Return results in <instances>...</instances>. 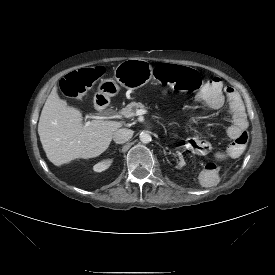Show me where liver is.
Segmentation results:
<instances>
[{"mask_svg": "<svg viewBox=\"0 0 275 275\" xmlns=\"http://www.w3.org/2000/svg\"><path fill=\"white\" fill-rule=\"evenodd\" d=\"M121 126L118 121L98 119L83 124L82 113L60 99L55 86L42 109L38 134L49 161L61 166L101 155Z\"/></svg>", "mask_w": 275, "mask_h": 275, "instance_id": "6515ba94", "label": "liver"}]
</instances>
